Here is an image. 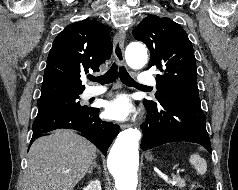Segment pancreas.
Returning a JSON list of instances; mask_svg holds the SVG:
<instances>
[{
	"mask_svg": "<svg viewBox=\"0 0 238 190\" xmlns=\"http://www.w3.org/2000/svg\"><path fill=\"white\" fill-rule=\"evenodd\" d=\"M172 185L182 188V187H184V181L180 177H176L173 179Z\"/></svg>",
	"mask_w": 238,
	"mask_h": 190,
	"instance_id": "1",
	"label": "pancreas"
}]
</instances>
